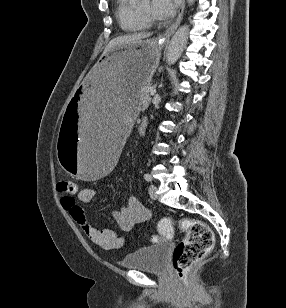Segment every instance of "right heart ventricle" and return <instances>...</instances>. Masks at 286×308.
Listing matches in <instances>:
<instances>
[{
	"label": "right heart ventricle",
	"instance_id": "e07e8e85",
	"mask_svg": "<svg viewBox=\"0 0 286 308\" xmlns=\"http://www.w3.org/2000/svg\"><path fill=\"white\" fill-rule=\"evenodd\" d=\"M115 15L120 28L127 33L143 32L149 27L131 5L130 0H117Z\"/></svg>",
	"mask_w": 286,
	"mask_h": 308
}]
</instances>
